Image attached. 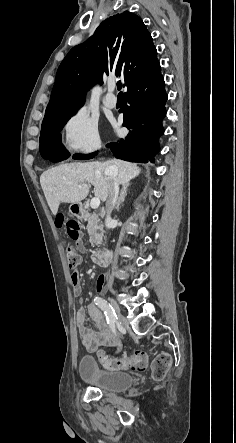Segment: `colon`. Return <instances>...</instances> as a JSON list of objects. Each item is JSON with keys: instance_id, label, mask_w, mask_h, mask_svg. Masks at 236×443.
I'll return each instance as SVG.
<instances>
[{"instance_id": "obj_1", "label": "colon", "mask_w": 236, "mask_h": 443, "mask_svg": "<svg viewBox=\"0 0 236 443\" xmlns=\"http://www.w3.org/2000/svg\"><path fill=\"white\" fill-rule=\"evenodd\" d=\"M60 223L65 224L66 232L71 240H78L80 237V225L75 220L65 222L64 218H60ZM66 258L68 264L71 267H76L80 261L81 256L79 252L73 248L68 247L66 250ZM72 280L76 282V273L72 274ZM101 364L108 369H121V370H145L148 365V356L143 351H137L131 355L122 354L119 356L109 357L103 350L97 351ZM171 363V359L168 355L162 354L157 356L152 362V374L155 380H162Z\"/></svg>"}]
</instances>
